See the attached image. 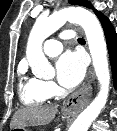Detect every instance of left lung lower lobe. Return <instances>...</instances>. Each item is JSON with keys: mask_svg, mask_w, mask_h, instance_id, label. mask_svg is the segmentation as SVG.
I'll return each instance as SVG.
<instances>
[{"mask_svg": "<svg viewBox=\"0 0 117 131\" xmlns=\"http://www.w3.org/2000/svg\"><path fill=\"white\" fill-rule=\"evenodd\" d=\"M104 29L107 47L110 56L114 85H117V34L109 19L100 12L96 13Z\"/></svg>", "mask_w": 117, "mask_h": 131, "instance_id": "1", "label": "left lung lower lobe"}]
</instances>
